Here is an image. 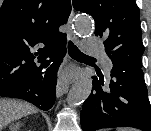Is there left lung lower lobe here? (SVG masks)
Listing matches in <instances>:
<instances>
[{
  "label": "left lung lower lobe",
  "instance_id": "obj_1",
  "mask_svg": "<svg viewBox=\"0 0 151 131\" xmlns=\"http://www.w3.org/2000/svg\"><path fill=\"white\" fill-rule=\"evenodd\" d=\"M93 76V89L81 111L83 131L112 127H134L151 131V105L141 68H114L111 79Z\"/></svg>",
  "mask_w": 151,
  "mask_h": 131
}]
</instances>
